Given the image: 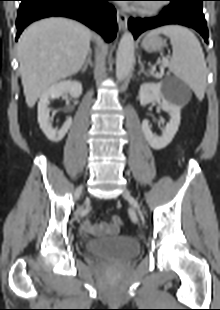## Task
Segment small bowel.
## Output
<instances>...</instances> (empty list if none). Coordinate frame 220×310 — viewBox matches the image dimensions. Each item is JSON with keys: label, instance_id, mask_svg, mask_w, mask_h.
Here are the masks:
<instances>
[{"label": "small bowel", "instance_id": "small-bowel-1", "mask_svg": "<svg viewBox=\"0 0 220 310\" xmlns=\"http://www.w3.org/2000/svg\"><path fill=\"white\" fill-rule=\"evenodd\" d=\"M82 228L86 233L95 235H111L116 232L113 229V226H110L109 224L103 222L95 224L88 217L83 219Z\"/></svg>", "mask_w": 220, "mask_h": 310}]
</instances>
